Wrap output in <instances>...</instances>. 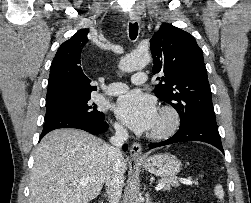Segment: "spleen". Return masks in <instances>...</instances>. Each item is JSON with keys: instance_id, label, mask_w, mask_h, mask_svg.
<instances>
[{"instance_id": "obj_1", "label": "spleen", "mask_w": 251, "mask_h": 203, "mask_svg": "<svg viewBox=\"0 0 251 203\" xmlns=\"http://www.w3.org/2000/svg\"><path fill=\"white\" fill-rule=\"evenodd\" d=\"M214 192H215V195L218 197V199L222 201L224 198V191L220 184L215 186Z\"/></svg>"}]
</instances>
